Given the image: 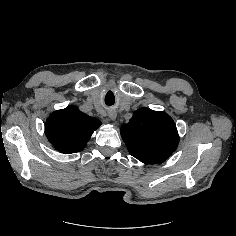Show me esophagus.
<instances>
[{"mask_svg":"<svg viewBox=\"0 0 236 236\" xmlns=\"http://www.w3.org/2000/svg\"><path fill=\"white\" fill-rule=\"evenodd\" d=\"M108 116L112 121H115L117 117V112L115 110H111L108 112Z\"/></svg>","mask_w":236,"mask_h":236,"instance_id":"1","label":"esophagus"}]
</instances>
